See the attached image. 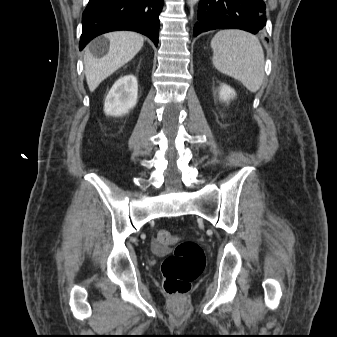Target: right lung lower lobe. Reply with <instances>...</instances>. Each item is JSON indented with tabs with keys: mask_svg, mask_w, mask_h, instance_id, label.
<instances>
[{
	"mask_svg": "<svg viewBox=\"0 0 337 337\" xmlns=\"http://www.w3.org/2000/svg\"><path fill=\"white\" fill-rule=\"evenodd\" d=\"M163 3L164 0H89L82 16L79 49L94 37L116 30L142 33L157 46Z\"/></svg>",
	"mask_w": 337,
	"mask_h": 337,
	"instance_id": "right-lung-lower-lobe-1",
	"label": "right lung lower lobe"
}]
</instances>
